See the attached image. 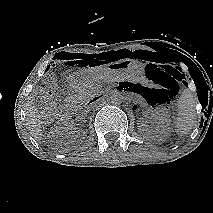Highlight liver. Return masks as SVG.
<instances>
[{
	"mask_svg": "<svg viewBox=\"0 0 213 213\" xmlns=\"http://www.w3.org/2000/svg\"><path fill=\"white\" fill-rule=\"evenodd\" d=\"M33 97H29V101L25 106L26 122L30 134L38 141L41 140L42 132V121L41 115L38 109L33 105Z\"/></svg>",
	"mask_w": 213,
	"mask_h": 213,
	"instance_id": "1",
	"label": "liver"
}]
</instances>
